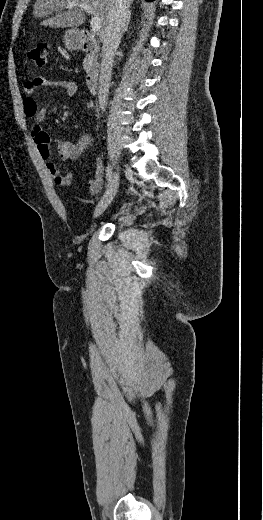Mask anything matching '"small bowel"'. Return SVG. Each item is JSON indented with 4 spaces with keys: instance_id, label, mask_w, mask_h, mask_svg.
I'll list each match as a JSON object with an SVG mask.
<instances>
[{
    "instance_id": "1",
    "label": "small bowel",
    "mask_w": 263,
    "mask_h": 520,
    "mask_svg": "<svg viewBox=\"0 0 263 520\" xmlns=\"http://www.w3.org/2000/svg\"><path fill=\"white\" fill-rule=\"evenodd\" d=\"M41 87H55L64 91L68 96H74L77 92V86L69 80H49L44 77L30 79L24 84V112L27 117L32 119L31 136L40 156L47 161L46 165L54 182L58 186L68 187L72 184L73 177L70 173L59 170L56 164L51 161L50 136L41 126L47 116V109L39 107L35 98V93ZM91 143L92 137L88 133H83L75 143L57 140L58 155L62 160L78 159L87 151ZM94 166V173L88 183L91 195L99 191L104 177L102 160L95 159Z\"/></svg>"
}]
</instances>
